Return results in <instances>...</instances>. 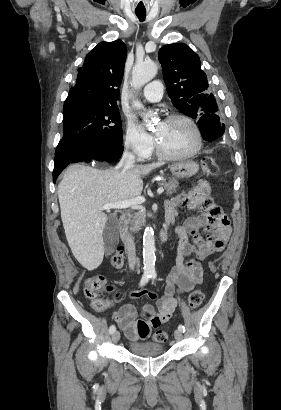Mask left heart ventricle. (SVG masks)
I'll list each match as a JSON object with an SVG mask.
<instances>
[{
	"instance_id": "left-heart-ventricle-1",
	"label": "left heart ventricle",
	"mask_w": 281,
	"mask_h": 410,
	"mask_svg": "<svg viewBox=\"0 0 281 410\" xmlns=\"http://www.w3.org/2000/svg\"><path fill=\"white\" fill-rule=\"evenodd\" d=\"M154 133L161 147L171 154L190 152L196 145L193 128L182 120L158 122Z\"/></svg>"
}]
</instances>
